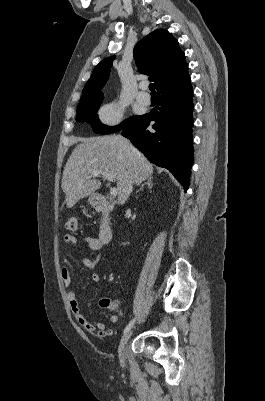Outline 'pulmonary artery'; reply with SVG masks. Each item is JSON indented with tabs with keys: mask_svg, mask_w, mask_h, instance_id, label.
Returning <instances> with one entry per match:
<instances>
[{
	"mask_svg": "<svg viewBox=\"0 0 265 401\" xmlns=\"http://www.w3.org/2000/svg\"><path fill=\"white\" fill-rule=\"evenodd\" d=\"M145 84V82H140L139 86L142 87ZM138 102L143 103L148 105L151 101V98L149 95H144V92H139V96L137 97Z\"/></svg>",
	"mask_w": 265,
	"mask_h": 401,
	"instance_id": "1",
	"label": "pulmonary artery"
}]
</instances>
